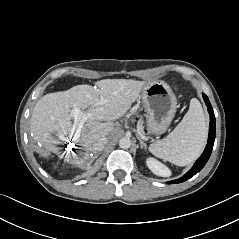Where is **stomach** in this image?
Listing matches in <instances>:
<instances>
[{"label":"stomach","mask_w":239,"mask_h":239,"mask_svg":"<svg viewBox=\"0 0 239 239\" xmlns=\"http://www.w3.org/2000/svg\"><path fill=\"white\" fill-rule=\"evenodd\" d=\"M147 113V130L153 135L163 134L171 124L177 100L170 86L163 81L147 83L142 90Z\"/></svg>","instance_id":"stomach-1"}]
</instances>
